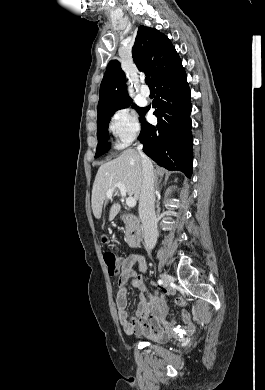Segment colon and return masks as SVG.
Here are the masks:
<instances>
[{"label": "colon", "mask_w": 265, "mask_h": 390, "mask_svg": "<svg viewBox=\"0 0 265 390\" xmlns=\"http://www.w3.org/2000/svg\"><path fill=\"white\" fill-rule=\"evenodd\" d=\"M103 259L106 264L108 273L112 276L117 275L120 270V260L117 255L112 251H106L103 254ZM176 303L180 306L185 305V301L182 298H176Z\"/></svg>", "instance_id": "1"}]
</instances>
